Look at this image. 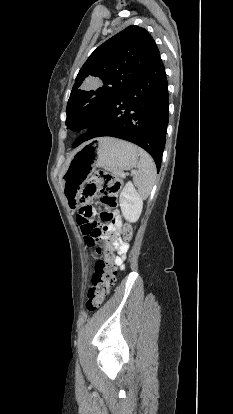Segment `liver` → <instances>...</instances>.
Returning a JSON list of instances; mask_svg holds the SVG:
<instances>
[{
    "mask_svg": "<svg viewBox=\"0 0 233 414\" xmlns=\"http://www.w3.org/2000/svg\"><path fill=\"white\" fill-rule=\"evenodd\" d=\"M80 150V148L77 150V151H79ZM77 151H75L69 158H68V160H67V162H66V164H65V167H64V169H63V171L61 172V174H60V176H59V181H60V184H61V186L63 187V179H62V177H63V174L65 173V171H66V169H67V167H68V165H69V163H70V160H71V158L73 157V155L77 152Z\"/></svg>",
    "mask_w": 233,
    "mask_h": 414,
    "instance_id": "1",
    "label": "liver"
}]
</instances>
